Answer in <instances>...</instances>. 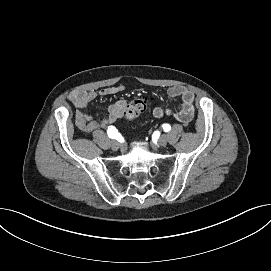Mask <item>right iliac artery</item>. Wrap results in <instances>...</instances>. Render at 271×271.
Returning a JSON list of instances; mask_svg holds the SVG:
<instances>
[{
	"label": "right iliac artery",
	"instance_id": "right-iliac-artery-1",
	"mask_svg": "<svg viewBox=\"0 0 271 271\" xmlns=\"http://www.w3.org/2000/svg\"><path fill=\"white\" fill-rule=\"evenodd\" d=\"M107 134L109 138L116 139L118 133V130L114 126H109L107 130Z\"/></svg>",
	"mask_w": 271,
	"mask_h": 271
}]
</instances>
